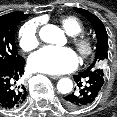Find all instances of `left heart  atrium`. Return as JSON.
<instances>
[{"instance_id":"1","label":"left heart atrium","mask_w":117,"mask_h":117,"mask_svg":"<svg viewBox=\"0 0 117 117\" xmlns=\"http://www.w3.org/2000/svg\"><path fill=\"white\" fill-rule=\"evenodd\" d=\"M78 65L76 53L70 48L46 46L29 58L32 70L47 74H61L72 71Z\"/></svg>"}]
</instances>
